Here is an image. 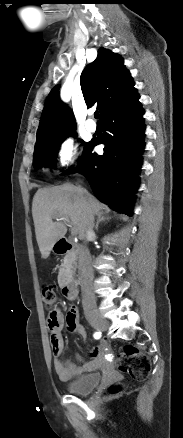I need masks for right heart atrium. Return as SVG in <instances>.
Returning <instances> with one entry per match:
<instances>
[{
    "label": "right heart atrium",
    "instance_id": "right-heart-atrium-1",
    "mask_svg": "<svg viewBox=\"0 0 183 438\" xmlns=\"http://www.w3.org/2000/svg\"><path fill=\"white\" fill-rule=\"evenodd\" d=\"M79 143L73 136L64 137L57 148L56 166L60 171L75 168L79 162Z\"/></svg>",
    "mask_w": 183,
    "mask_h": 438
}]
</instances>
